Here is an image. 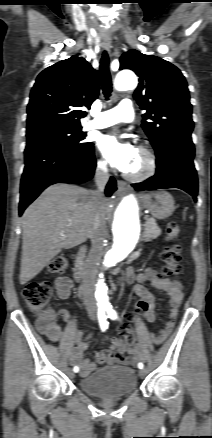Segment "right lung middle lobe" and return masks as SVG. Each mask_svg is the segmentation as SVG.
<instances>
[{
  "mask_svg": "<svg viewBox=\"0 0 212 438\" xmlns=\"http://www.w3.org/2000/svg\"><path fill=\"white\" fill-rule=\"evenodd\" d=\"M27 144L47 143L66 148H83L90 142H83L81 127L63 125H44L28 129Z\"/></svg>",
  "mask_w": 212,
  "mask_h": 438,
  "instance_id": "dd1d6c3e",
  "label": "right lung middle lobe"
}]
</instances>
